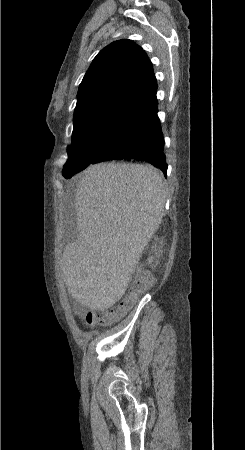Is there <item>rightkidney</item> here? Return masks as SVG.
Instances as JSON below:
<instances>
[{"label":"right kidney","mask_w":245,"mask_h":450,"mask_svg":"<svg viewBox=\"0 0 245 450\" xmlns=\"http://www.w3.org/2000/svg\"><path fill=\"white\" fill-rule=\"evenodd\" d=\"M148 261H149V263L152 262V258H149Z\"/></svg>","instance_id":"right-kidney-1"}]
</instances>
